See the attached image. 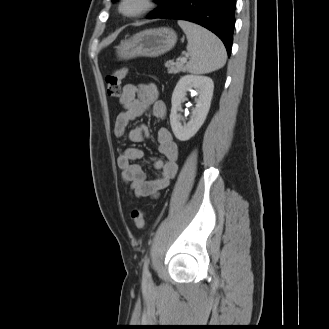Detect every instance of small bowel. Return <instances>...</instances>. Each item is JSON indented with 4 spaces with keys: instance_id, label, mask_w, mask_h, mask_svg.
Listing matches in <instances>:
<instances>
[{
    "instance_id": "small-bowel-1",
    "label": "small bowel",
    "mask_w": 329,
    "mask_h": 329,
    "mask_svg": "<svg viewBox=\"0 0 329 329\" xmlns=\"http://www.w3.org/2000/svg\"><path fill=\"white\" fill-rule=\"evenodd\" d=\"M159 87L154 82L126 84L123 87L119 102L123 107L116 118L113 133L118 139L125 134L132 143H140L150 136L148 127L140 124L128 129L130 122L150 112L156 119H164L167 115L165 103L159 99ZM158 150L162 158L151 161L157 170V176L149 179L144 169V152L134 147L119 149L117 166L122 180L129 185L132 194L137 198L155 197L165 188L177 173L178 145L172 133L166 127L157 131Z\"/></svg>"
}]
</instances>
